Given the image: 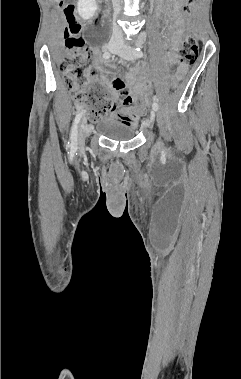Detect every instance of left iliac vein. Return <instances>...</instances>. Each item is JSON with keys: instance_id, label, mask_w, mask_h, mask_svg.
I'll use <instances>...</instances> for the list:
<instances>
[{"instance_id": "4c4485c4", "label": "left iliac vein", "mask_w": 241, "mask_h": 379, "mask_svg": "<svg viewBox=\"0 0 241 379\" xmlns=\"http://www.w3.org/2000/svg\"><path fill=\"white\" fill-rule=\"evenodd\" d=\"M115 53L118 54L120 57L126 59V60H134L135 59L133 49L127 45H122L118 49V51ZM154 120H155V110L153 109L150 113V119L144 123V126L150 127L152 125V123L154 122Z\"/></svg>"}]
</instances>
